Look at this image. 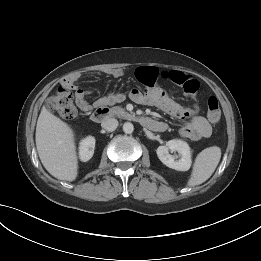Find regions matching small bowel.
I'll list each match as a JSON object with an SVG mask.
<instances>
[{
    "label": "small bowel",
    "mask_w": 261,
    "mask_h": 261,
    "mask_svg": "<svg viewBox=\"0 0 261 261\" xmlns=\"http://www.w3.org/2000/svg\"><path fill=\"white\" fill-rule=\"evenodd\" d=\"M105 73L113 77H120L124 71L120 68H113L106 70ZM136 75L141 82L150 85L156 80L159 72L154 67H141L137 70ZM164 77L183 88L186 96L193 101L192 107L181 106L173 101L160 88H154L145 93L138 89H132L129 93V97L137 103L155 105L176 118L189 119L188 122L180 128V135L185 139L198 141L210 137L212 133L211 125L205 117L199 115V105L197 103L198 81L192 76L176 70L165 73ZM68 83H70L76 91V103L80 110L83 112L90 111L91 105L86 99L87 92L78 88L74 80L68 81ZM124 99V94L115 92L100 98L98 104L118 103Z\"/></svg>",
    "instance_id": "c3829d8e"
}]
</instances>
